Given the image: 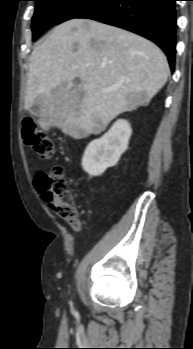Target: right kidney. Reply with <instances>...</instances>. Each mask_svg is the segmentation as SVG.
<instances>
[{
    "mask_svg": "<svg viewBox=\"0 0 193 349\" xmlns=\"http://www.w3.org/2000/svg\"><path fill=\"white\" fill-rule=\"evenodd\" d=\"M131 134L130 124L124 119L117 120L107 133L86 147L81 163L84 171L99 176L116 165L128 147Z\"/></svg>",
    "mask_w": 193,
    "mask_h": 349,
    "instance_id": "ca27d5eb",
    "label": "right kidney"
}]
</instances>
